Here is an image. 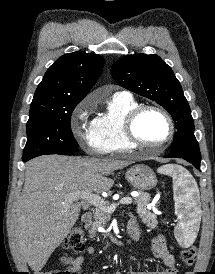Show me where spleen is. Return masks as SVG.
Instances as JSON below:
<instances>
[{
	"label": "spleen",
	"instance_id": "obj_1",
	"mask_svg": "<svg viewBox=\"0 0 215 274\" xmlns=\"http://www.w3.org/2000/svg\"><path fill=\"white\" fill-rule=\"evenodd\" d=\"M157 171L173 178L175 213L179 217L174 234L180 244L190 245L194 242L199 227L197 183L189 171L179 165H163Z\"/></svg>",
	"mask_w": 215,
	"mask_h": 274
}]
</instances>
